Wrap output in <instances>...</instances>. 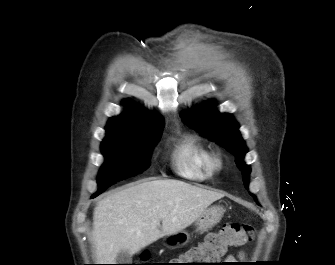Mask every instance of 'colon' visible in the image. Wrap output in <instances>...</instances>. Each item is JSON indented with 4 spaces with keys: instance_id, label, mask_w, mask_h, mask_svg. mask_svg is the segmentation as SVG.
<instances>
[{
    "instance_id": "5ec220e1",
    "label": "colon",
    "mask_w": 335,
    "mask_h": 265,
    "mask_svg": "<svg viewBox=\"0 0 335 265\" xmlns=\"http://www.w3.org/2000/svg\"><path fill=\"white\" fill-rule=\"evenodd\" d=\"M254 228L248 224L228 223L222 228L206 236L196 247L188 250L181 259L183 265H215L230 248L242 246L253 239ZM143 260L148 259L144 254ZM146 265V264H140Z\"/></svg>"
}]
</instances>
